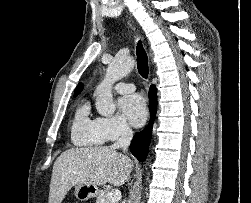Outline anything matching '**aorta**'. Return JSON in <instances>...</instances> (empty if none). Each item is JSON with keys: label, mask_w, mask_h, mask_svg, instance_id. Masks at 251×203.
<instances>
[{"label": "aorta", "mask_w": 251, "mask_h": 203, "mask_svg": "<svg viewBox=\"0 0 251 203\" xmlns=\"http://www.w3.org/2000/svg\"><path fill=\"white\" fill-rule=\"evenodd\" d=\"M135 61L131 57L116 58L107 67L105 77L96 89V109L102 116L110 117L116 106L112 95V86L134 68Z\"/></svg>", "instance_id": "obj_1"}]
</instances>
